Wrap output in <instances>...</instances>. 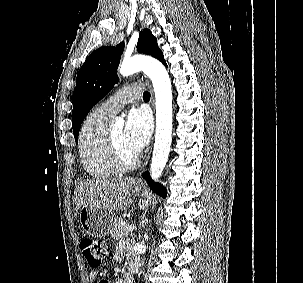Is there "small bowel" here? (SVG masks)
Returning <instances> with one entry per match:
<instances>
[{"label":"small bowel","mask_w":303,"mask_h":283,"mask_svg":"<svg viewBox=\"0 0 303 283\" xmlns=\"http://www.w3.org/2000/svg\"><path fill=\"white\" fill-rule=\"evenodd\" d=\"M126 252H128L130 254L131 259L135 258V256L133 255V253L129 249V243L128 242H119L115 246L114 250L112 251L111 257L114 260L119 261V260L123 259ZM97 278H98V274L96 272H91L89 274V279L91 281H96ZM131 280H132V278L128 274H126L123 277L117 279L116 283H131Z\"/></svg>","instance_id":"obj_1"}]
</instances>
